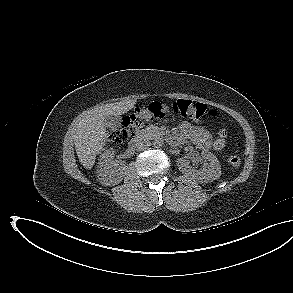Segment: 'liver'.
<instances>
[{"mask_svg":"<svg viewBox=\"0 0 293 293\" xmlns=\"http://www.w3.org/2000/svg\"><path fill=\"white\" fill-rule=\"evenodd\" d=\"M136 100H123L106 104L84 112L73 126V136L76 153L80 163L86 169H91L96 156L104 150L108 140V133L104 120L107 116H120L131 110Z\"/></svg>","mask_w":293,"mask_h":293,"instance_id":"1","label":"liver"}]
</instances>
